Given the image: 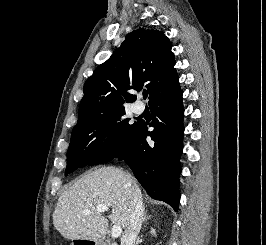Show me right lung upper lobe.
<instances>
[{"label": "right lung upper lobe", "mask_w": 266, "mask_h": 245, "mask_svg": "<svg viewBox=\"0 0 266 245\" xmlns=\"http://www.w3.org/2000/svg\"><path fill=\"white\" fill-rule=\"evenodd\" d=\"M175 59L169 39L162 31L146 27L126 35L121 46L84 84L78 121L124 109L133 102L130 89L145 86L149 101L178 81Z\"/></svg>", "instance_id": "right-lung-upper-lobe-1"}]
</instances>
